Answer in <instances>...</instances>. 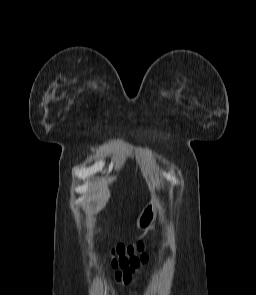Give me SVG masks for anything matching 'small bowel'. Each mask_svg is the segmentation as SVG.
Returning <instances> with one entry per match:
<instances>
[{
	"label": "small bowel",
	"instance_id": "small-bowel-1",
	"mask_svg": "<svg viewBox=\"0 0 256 295\" xmlns=\"http://www.w3.org/2000/svg\"><path fill=\"white\" fill-rule=\"evenodd\" d=\"M140 276V271H135L133 269H126L115 273V279L117 282L131 286H136L138 284Z\"/></svg>",
	"mask_w": 256,
	"mask_h": 295
}]
</instances>
